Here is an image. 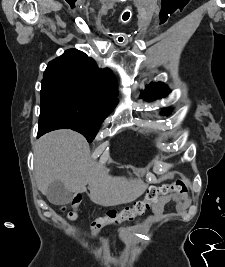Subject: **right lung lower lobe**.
I'll list each match as a JSON object with an SVG mask.
<instances>
[{"label": "right lung lower lobe", "instance_id": "98d812e1", "mask_svg": "<svg viewBox=\"0 0 225 267\" xmlns=\"http://www.w3.org/2000/svg\"><path fill=\"white\" fill-rule=\"evenodd\" d=\"M56 129H69L61 119L50 114L40 113L37 137Z\"/></svg>", "mask_w": 225, "mask_h": 267}]
</instances>
